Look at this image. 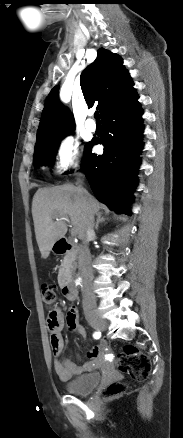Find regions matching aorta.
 I'll list each match as a JSON object with an SVG mask.
<instances>
[{
	"label": "aorta",
	"mask_w": 183,
	"mask_h": 438,
	"mask_svg": "<svg viewBox=\"0 0 183 438\" xmlns=\"http://www.w3.org/2000/svg\"><path fill=\"white\" fill-rule=\"evenodd\" d=\"M73 283L76 287L84 289V279L81 271H77L73 275Z\"/></svg>",
	"instance_id": "762f6f07"
}]
</instances>
